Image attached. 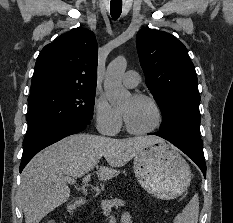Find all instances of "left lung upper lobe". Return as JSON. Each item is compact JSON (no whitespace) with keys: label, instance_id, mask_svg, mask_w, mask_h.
<instances>
[{"label":"left lung upper lobe","instance_id":"obj_1","mask_svg":"<svg viewBox=\"0 0 233 223\" xmlns=\"http://www.w3.org/2000/svg\"><path fill=\"white\" fill-rule=\"evenodd\" d=\"M136 45L146 85L162 112L159 132L201 139L198 80L184 44L169 33L144 27Z\"/></svg>","mask_w":233,"mask_h":223}]
</instances>
